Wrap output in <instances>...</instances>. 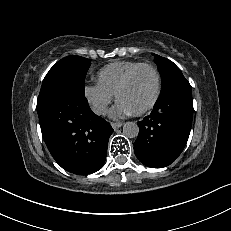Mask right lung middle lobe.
Listing matches in <instances>:
<instances>
[{"mask_svg":"<svg viewBox=\"0 0 231 231\" xmlns=\"http://www.w3.org/2000/svg\"><path fill=\"white\" fill-rule=\"evenodd\" d=\"M90 62L80 56H67L58 61L43 80L38 102L60 90H74L85 95L84 81Z\"/></svg>","mask_w":231,"mask_h":231,"instance_id":"right-lung-middle-lobe-1","label":"right lung middle lobe"}]
</instances>
